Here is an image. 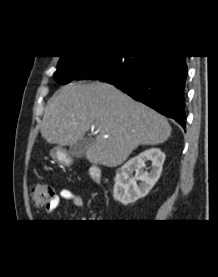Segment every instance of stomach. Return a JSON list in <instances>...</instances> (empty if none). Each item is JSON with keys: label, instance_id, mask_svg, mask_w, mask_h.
<instances>
[{"label": "stomach", "instance_id": "obj_1", "mask_svg": "<svg viewBox=\"0 0 218 277\" xmlns=\"http://www.w3.org/2000/svg\"><path fill=\"white\" fill-rule=\"evenodd\" d=\"M50 156L61 164H68L69 160L65 150L61 147H55L50 151Z\"/></svg>", "mask_w": 218, "mask_h": 277}]
</instances>
